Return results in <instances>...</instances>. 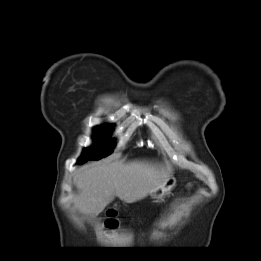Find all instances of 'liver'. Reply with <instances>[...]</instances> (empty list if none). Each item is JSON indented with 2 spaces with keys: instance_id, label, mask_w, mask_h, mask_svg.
Instances as JSON below:
<instances>
[{
  "instance_id": "6515ba94",
  "label": "liver",
  "mask_w": 261,
  "mask_h": 261,
  "mask_svg": "<svg viewBox=\"0 0 261 261\" xmlns=\"http://www.w3.org/2000/svg\"><path fill=\"white\" fill-rule=\"evenodd\" d=\"M171 173L170 166L148 161L90 163L74 175L75 205L79 212L97 216L115 196L126 203L136 202L163 186Z\"/></svg>"
}]
</instances>
